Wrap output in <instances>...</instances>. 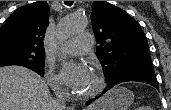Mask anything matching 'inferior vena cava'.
Instances as JSON below:
<instances>
[{"mask_svg":"<svg viewBox=\"0 0 171 110\" xmlns=\"http://www.w3.org/2000/svg\"><path fill=\"white\" fill-rule=\"evenodd\" d=\"M53 91L56 95L55 106L57 110H65V97L64 92L62 91L61 85L59 83H55L52 85Z\"/></svg>","mask_w":171,"mask_h":110,"instance_id":"602c4592","label":"inferior vena cava"}]
</instances>
